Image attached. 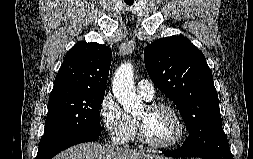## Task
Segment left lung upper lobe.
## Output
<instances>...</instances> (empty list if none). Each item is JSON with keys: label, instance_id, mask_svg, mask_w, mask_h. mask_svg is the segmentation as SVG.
<instances>
[{"label": "left lung upper lobe", "instance_id": "5c2ea615", "mask_svg": "<svg viewBox=\"0 0 253 159\" xmlns=\"http://www.w3.org/2000/svg\"><path fill=\"white\" fill-rule=\"evenodd\" d=\"M153 83L179 108L189 137L206 140L222 127L213 76L203 53L183 36L161 38L144 50Z\"/></svg>", "mask_w": 253, "mask_h": 159}]
</instances>
